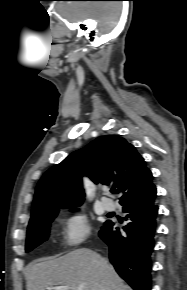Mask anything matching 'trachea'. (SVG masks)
I'll list each match as a JSON object with an SVG mask.
<instances>
[{
	"instance_id": "trachea-1",
	"label": "trachea",
	"mask_w": 187,
	"mask_h": 290,
	"mask_svg": "<svg viewBox=\"0 0 187 290\" xmlns=\"http://www.w3.org/2000/svg\"><path fill=\"white\" fill-rule=\"evenodd\" d=\"M111 192H112L113 194H116V193H117V190L112 189Z\"/></svg>"
}]
</instances>
